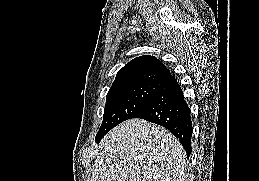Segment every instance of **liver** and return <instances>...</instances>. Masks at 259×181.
<instances>
[{
  "mask_svg": "<svg viewBox=\"0 0 259 181\" xmlns=\"http://www.w3.org/2000/svg\"><path fill=\"white\" fill-rule=\"evenodd\" d=\"M91 181H187L186 152L167 129L127 120L102 139Z\"/></svg>",
  "mask_w": 259,
  "mask_h": 181,
  "instance_id": "liver-1",
  "label": "liver"
}]
</instances>
